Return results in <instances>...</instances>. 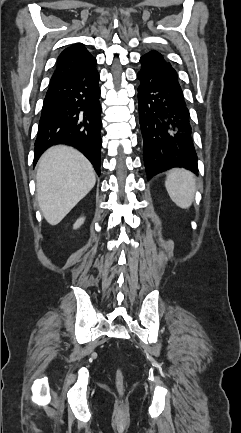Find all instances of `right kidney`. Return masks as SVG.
Listing matches in <instances>:
<instances>
[{"instance_id":"obj_1","label":"right kidney","mask_w":241,"mask_h":433,"mask_svg":"<svg viewBox=\"0 0 241 433\" xmlns=\"http://www.w3.org/2000/svg\"><path fill=\"white\" fill-rule=\"evenodd\" d=\"M85 218L84 217H80L79 219L76 220V222L73 225L74 229L79 228L83 223H84Z\"/></svg>"}]
</instances>
